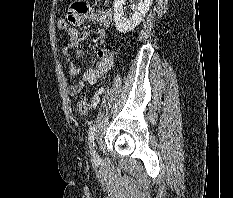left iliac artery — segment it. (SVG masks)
<instances>
[{
    "instance_id": "left-iliac-artery-1",
    "label": "left iliac artery",
    "mask_w": 233,
    "mask_h": 198,
    "mask_svg": "<svg viewBox=\"0 0 233 198\" xmlns=\"http://www.w3.org/2000/svg\"><path fill=\"white\" fill-rule=\"evenodd\" d=\"M103 92V89L99 90V93ZM96 133V127L95 126H91L89 129V133H88V139L90 141V147L94 146V136Z\"/></svg>"
}]
</instances>
